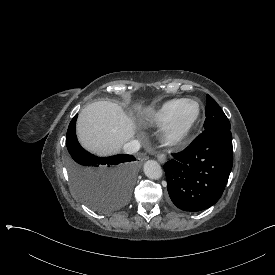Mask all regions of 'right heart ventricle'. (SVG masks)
<instances>
[{"label": "right heart ventricle", "mask_w": 275, "mask_h": 275, "mask_svg": "<svg viewBox=\"0 0 275 275\" xmlns=\"http://www.w3.org/2000/svg\"><path fill=\"white\" fill-rule=\"evenodd\" d=\"M184 99H171L163 102L157 108L144 114L146 123L151 126H164L167 124L172 110Z\"/></svg>", "instance_id": "e07e8e85"}]
</instances>
